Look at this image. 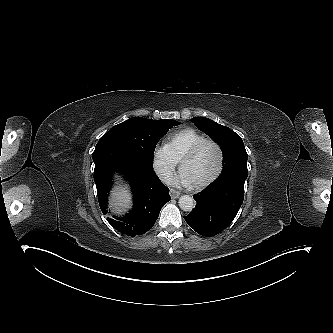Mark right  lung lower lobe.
Wrapping results in <instances>:
<instances>
[{
    "label": "right lung lower lobe",
    "mask_w": 333,
    "mask_h": 333,
    "mask_svg": "<svg viewBox=\"0 0 333 333\" xmlns=\"http://www.w3.org/2000/svg\"><path fill=\"white\" fill-rule=\"evenodd\" d=\"M95 163L94 181L103 214L107 213V198L112 185V173L121 172L129 181L134 197L132 211L125 217H107V221L122 234L134 237L151 229L163 205L171 197L169 189L158 179L152 166L146 164L125 142L103 135L92 154Z\"/></svg>",
    "instance_id": "1"
}]
</instances>
